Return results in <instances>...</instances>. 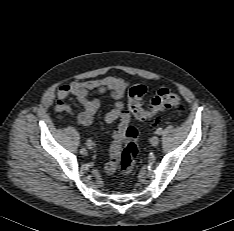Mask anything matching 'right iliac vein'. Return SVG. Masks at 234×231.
I'll list each match as a JSON object with an SVG mask.
<instances>
[{
    "label": "right iliac vein",
    "instance_id": "63e3f726",
    "mask_svg": "<svg viewBox=\"0 0 234 231\" xmlns=\"http://www.w3.org/2000/svg\"><path fill=\"white\" fill-rule=\"evenodd\" d=\"M80 153H81L82 155H86V154H87V150H86L85 148H81V149H80Z\"/></svg>",
    "mask_w": 234,
    "mask_h": 231
}]
</instances>
